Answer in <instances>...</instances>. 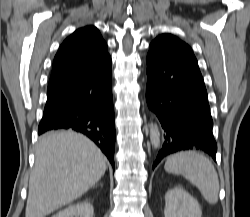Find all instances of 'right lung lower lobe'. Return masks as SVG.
Segmentation results:
<instances>
[{"mask_svg": "<svg viewBox=\"0 0 250 217\" xmlns=\"http://www.w3.org/2000/svg\"><path fill=\"white\" fill-rule=\"evenodd\" d=\"M71 129L85 134L114 168L115 124L111 59L93 73L47 91L38 133Z\"/></svg>", "mask_w": 250, "mask_h": 217, "instance_id": "right-lung-lower-lobe-1", "label": "right lung lower lobe"}]
</instances>
